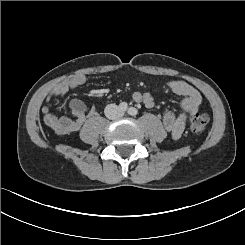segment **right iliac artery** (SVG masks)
<instances>
[{"label": "right iliac artery", "mask_w": 245, "mask_h": 245, "mask_svg": "<svg viewBox=\"0 0 245 245\" xmlns=\"http://www.w3.org/2000/svg\"><path fill=\"white\" fill-rule=\"evenodd\" d=\"M119 108H120V110H121L122 112H124V111L127 110L128 105H127V103L122 102V103H120Z\"/></svg>", "instance_id": "82829eb1"}]
</instances>
